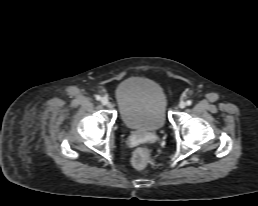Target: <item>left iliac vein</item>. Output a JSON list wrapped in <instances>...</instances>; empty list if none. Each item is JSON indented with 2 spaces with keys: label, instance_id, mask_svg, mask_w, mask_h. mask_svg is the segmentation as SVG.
<instances>
[{
  "label": "left iliac vein",
  "instance_id": "obj_1",
  "mask_svg": "<svg viewBox=\"0 0 258 206\" xmlns=\"http://www.w3.org/2000/svg\"><path fill=\"white\" fill-rule=\"evenodd\" d=\"M179 107H180L181 109L185 108V107H186V103H185L184 101L180 102V103H179Z\"/></svg>",
  "mask_w": 258,
  "mask_h": 206
}]
</instances>
